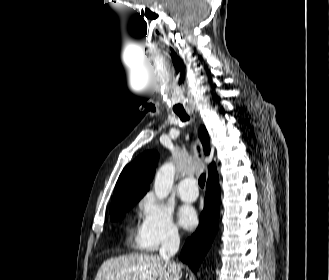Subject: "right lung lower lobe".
Instances as JSON below:
<instances>
[{
  "label": "right lung lower lobe",
  "instance_id": "right-lung-lower-lobe-1",
  "mask_svg": "<svg viewBox=\"0 0 329 280\" xmlns=\"http://www.w3.org/2000/svg\"><path fill=\"white\" fill-rule=\"evenodd\" d=\"M220 186L217 171L208 177L205 206L200 216L199 227L189 237L181 251V260L196 272L218 229Z\"/></svg>",
  "mask_w": 329,
  "mask_h": 280
}]
</instances>
